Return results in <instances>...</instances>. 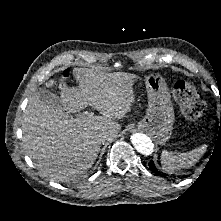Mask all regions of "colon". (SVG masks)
I'll return each mask as SVG.
<instances>
[{
    "instance_id": "obj_1",
    "label": "colon",
    "mask_w": 221,
    "mask_h": 221,
    "mask_svg": "<svg viewBox=\"0 0 221 221\" xmlns=\"http://www.w3.org/2000/svg\"><path fill=\"white\" fill-rule=\"evenodd\" d=\"M69 71L64 76H69ZM174 96L180 105L183 115L189 120H200L206 112V104L202 101L193 84L188 81H178L174 85Z\"/></svg>"
}]
</instances>
